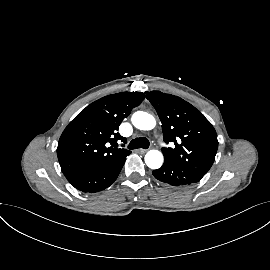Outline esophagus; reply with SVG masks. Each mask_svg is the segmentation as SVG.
Here are the masks:
<instances>
[{"mask_svg": "<svg viewBox=\"0 0 270 270\" xmlns=\"http://www.w3.org/2000/svg\"><path fill=\"white\" fill-rule=\"evenodd\" d=\"M138 152H139V153H141V154H144V153H146V152H147V150H146V149H142V148H141V149H138Z\"/></svg>", "mask_w": 270, "mask_h": 270, "instance_id": "obj_1", "label": "esophagus"}]
</instances>
